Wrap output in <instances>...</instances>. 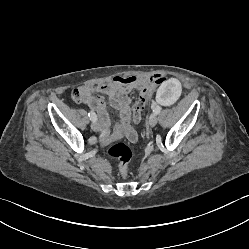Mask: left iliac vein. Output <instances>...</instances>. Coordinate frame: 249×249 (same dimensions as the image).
Masks as SVG:
<instances>
[{
  "label": "left iliac vein",
  "instance_id": "left-iliac-vein-1",
  "mask_svg": "<svg viewBox=\"0 0 249 249\" xmlns=\"http://www.w3.org/2000/svg\"><path fill=\"white\" fill-rule=\"evenodd\" d=\"M158 122V118H157V115L156 114H151L150 118H149V125L151 127H154Z\"/></svg>",
  "mask_w": 249,
  "mask_h": 249
}]
</instances>
